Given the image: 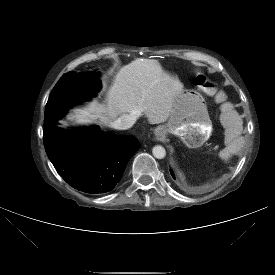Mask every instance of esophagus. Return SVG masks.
<instances>
[{
    "label": "esophagus",
    "mask_w": 275,
    "mask_h": 275,
    "mask_svg": "<svg viewBox=\"0 0 275 275\" xmlns=\"http://www.w3.org/2000/svg\"><path fill=\"white\" fill-rule=\"evenodd\" d=\"M154 133L157 137H162L165 133V130L162 126H159L155 129Z\"/></svg>",
    "instance_id": "obj_1"
}]
</instances>
